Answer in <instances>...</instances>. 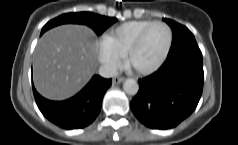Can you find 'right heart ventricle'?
Listing matches in <instances>:
<instances>
[{"label":"right heart ventricle","mask_w":238,"mask_h":145,"mask_svg":"<svg viewBox=\"0 0 238 145\" xmlns=\"http://www.w3.org/2000/svg\"><path fill=\"white\" fill-rule=\"evenodd\" d=\"M151 20H133L109 29L102 36V42L119 57H124L138 34L149 25Z\"/></svg>","instance_id":"1"}]
</instances>
